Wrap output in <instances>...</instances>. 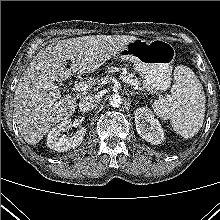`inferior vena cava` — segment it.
<instances>
[{
	"mask_svg": "<svg viewBox=\"0 0 220 220\" xmlns=\"http://www.w3.org/2000/svg\"><path fill=\"white\" fill-rule=\"evenodd\" d=\"M99 99H100L99 95L96 94L87 95L83 97L79 102V109L83 112H89L96 107Z\"/></svg>",
	"mask_w": 220,
	"mask_h": 220,
	"instance_id": "inferior-vena-cava-1",
	"label": "inferior vena cava"
}]
</instances>
